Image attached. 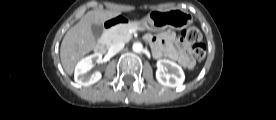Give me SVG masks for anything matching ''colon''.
I'll return each instance as SVG.
<instances>
[{
  "label": "colon",
  "instance_id": "1",
  "mask_svg": "<svg viewBox=\"0 0 276 120\" xmlns=\"http://www.w3.org/2000/svg\"><path fill=\"white\" fill-rule=\"evenodd\" d=\"M182 38L192 44L193 57L196 61L201 62L206 55V46L201 41L200 31L195 26H191L182 32Z\"/></svg>",
  "mask_w": 276,
  "mask_h": 120
}]
</instances>
